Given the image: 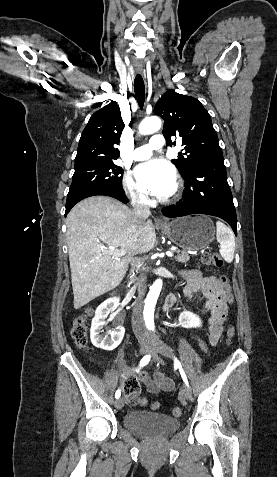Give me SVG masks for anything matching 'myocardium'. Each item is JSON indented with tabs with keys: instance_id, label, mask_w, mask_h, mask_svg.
<instances>
[{
	"instance_id": "1",
	"label": "myocardium",
	"mask_w": 277,
	"mask_h": 477,
	"mask_svg": "<svg viewBox=\"0 0 277 477\" xmlns=\"http://www.w3.org/2000/svg\"><path fill=\"white\" fill-rule=\"evenodd\" d=\"M181 191H182V187H181V184L180 183H177L176 187H175V190L172 194V197H171V200H176L179 198L180 194H181Z\"/></svg>"
}]
</instances>
